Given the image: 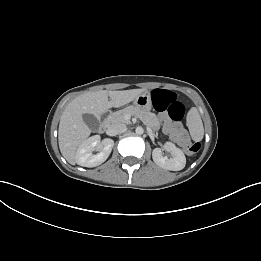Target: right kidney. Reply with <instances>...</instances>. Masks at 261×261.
I'll return each mask as SVG.
<instances>
[{
    "label": "right kidney",
    "instance_id": "right-kidney-1",
    "mask_svg": "<svg viewBox=\"0 0 261 261\" xmlns=\"http://www.w3.org/2000/svg\"><path fill=\"white\" fill-rule=\"evenodd\" d=\"M114 141L111 139L100 140L99 135L92 136L85 140L76 151V163L83 167H96L102 164L109 157ZM98 150L99 153L92 154Z\"/></svg>",
    "mask_w": 261,
    "mask_h": 261
}]
</instances>
